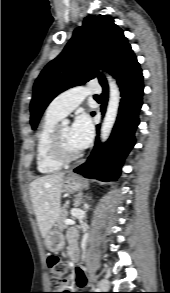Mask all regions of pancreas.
Instances as JSON below:
<instances>
[{
  "label": "pancreas",
  "mask_w": 170,
  "mask_h": 293,
  "mask_svg": "<svg viewBox=\"0 0 170 293\" xmlns=\"http://www.w3.org/2000/svg\"><path fill=\"white\" fill-rule=\"evenodd\" d=\"M68 218V212L65 208H62L58 214L56 228L60 231H63L67 228V225L64 223V220Z\"/></svg>",
  "instance_id": "cf45deb5"
}]
</instances>
